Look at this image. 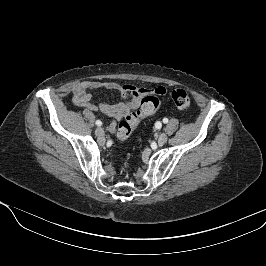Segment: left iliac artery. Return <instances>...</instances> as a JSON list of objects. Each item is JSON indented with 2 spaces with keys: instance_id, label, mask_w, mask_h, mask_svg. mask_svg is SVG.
I'll return each instance as SVG.
<instances>
[{
  "instance_id": "44dca946",
  "label": "left iliac artery",
  "mask_w": 266,
  "mask_h": 266,
  "mask_svg": "<svg viewBox=\"0 0 266 266\" xmlns=\"http://www.w3.org/2000/svg\"><path fill=\"white\" fill-rule=\"evenodd\" d=\"M168 122V119L167 118H164L163 119V123H167ZM157 124H159V123H157Z\"/></svg>"
}]
</instances>
